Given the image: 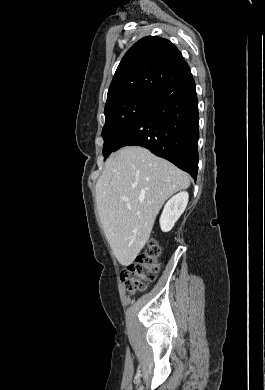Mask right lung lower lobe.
I'll return each instance as SVG.
<instances>
[{
  "instance_id": "1",
  "label": "right lung lower lobe",
  "mask_w": 265,
  "mask_h": 390,
  "mask_svg": "<svg viewBox=\"0 0 265 390\" xmlns=\"http://www.w3.org/2000/svg\"><path fill=\"white\" fill-rule=\"evenodd\" d=\"M198 99L191 71L165 89L122 134L115 151L142 146L188 172H198Z\"/></svg>"
}]
</instances>
